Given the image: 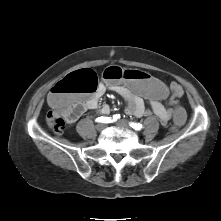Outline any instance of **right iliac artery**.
Masks as SVG:
<instances>
[{
	"mask_svg": "<svg viewBox=\"0 0 221 221\" xmlns=\"http://www.w3.org/2000/svg\"><path fill=\"white\" fill-rule=\"evenodd\" d=\"M119 118H120L119 114L114 115L112 118H110V117H98L96 119V122L109 123V122L117 121Z\"/></svg>",
	"mask_w": 221,
	"mask_h": 221,
	"instance_id": "82829eb1",
	"label": "right iliac artery"
}]
</instances>
